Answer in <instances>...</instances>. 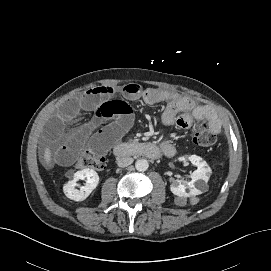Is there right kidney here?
<instances>
[{
  "mask_svg": "<svg viewBox=\"0 0 271 271\" xmlns=\"http://www.w3.org/2000/svg\"><path fill=\"white\" fill-rule=\"evenodd\" d=\"M81 179H86V185L81 187L80 190L76 189V182ZM99 183V176L93 169L85 168L77 171L73 175V179L68 181L63 186L64 194L67 198L74 201H84L91 192L97 187Z\"/></svg>",
  "mask_w": 271,
  "mask_h": 271,
  "instance_id": "ca27d5eb",
  "label": "right kidney"
}]
</instances>
